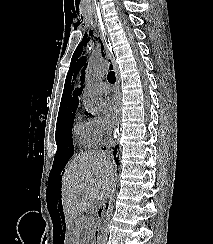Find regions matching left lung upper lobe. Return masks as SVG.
Segmentation results:
<instances>
[{
  "label": "left lung upper lobe",
  "mask_w": 213,
  "mask_h": 244,
  "mask_svg": "<svg viewBox=\"0 0 213 244\" xmlns=\"http://www.w3.org/2000/svg\"><path fill=\"white\" fill-rule=\"evenodd\" d=\"M81 53L82 52H80L78 55H74V57L72 58L70 68H69V71H68V74L66 77L63 97L68 96V99L73 90V86H74L73 81L76 80V77L80 71L82 72L81 81L82 82L84 81V76H85L84 71H85L87 64H86V57L80 58ZM83 54H84V52H83ZM82 67H83V69L81 70Z\"/></svg>",
  "instance_id": "5c2ea615"
}]
</instances>
